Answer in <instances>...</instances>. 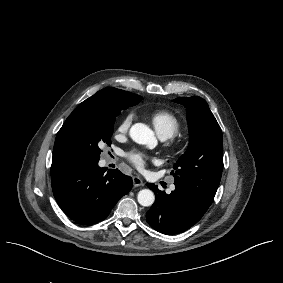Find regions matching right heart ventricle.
Masks as SVG:
<instances>
[{
  "mask_svg": "<svg viewBox=\"0 0 283 283\" xmlns=\"http://www.w3.org/2000/svg\"><path fill=\"white\" fill-rule=\"evenodd\" d=\"M150 122L156 133L162 139L173 137L180 128L179 119L167 111H157L150 115Z\"/></svg>",
  "mask_w": 283,
  "mask_h": 283,
  "instance_id": "e07e8e85",
  "label": "right heart ventricle"
}]
</instances>
